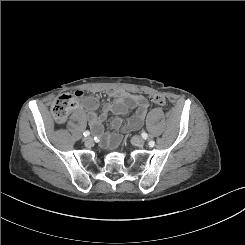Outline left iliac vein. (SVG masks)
<instances>
[{
	"instance_id": "4c4485c4",
	"label": "left iliac vein",
	"mask_w": 245,
	"mask_h": 245,
	"mask_svg": "<svg viewBox=\"0 0 245 245\" xmlns=\"http://www.w3.org/2000/svg\"><path fill=\"white\" fill-rule=\"evenodd\" d=\"M132 143L136 146H143L145 141L138 137V136H133L132 139H131Z\"/></svg>"
}]
</instances>
